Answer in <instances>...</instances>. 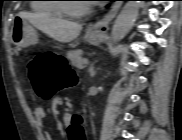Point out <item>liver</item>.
Segmentation results:
<instances>
[{
    "mask_svg": "<svg viewBox=\"0 0 182 140\" xmlns=\"http://www.w3.org/2000/svg\"><path fill=\"white\" fill-rule=\"evenodd\" d=\"M19 15L27 19L31 25L49 37L62 43L73 41L79 36L82 30V25L77 22L54 18L45 14L21 12Z\"/></svg>",
    "mask_w": 182,
    "mask_h": 140,
    "instance_id": "6515ba94",
    "label": "liver"
}]
</instances>
